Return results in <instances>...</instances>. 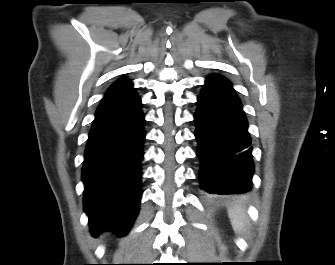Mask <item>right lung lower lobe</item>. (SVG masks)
Listing matches in <instances>:
<instances>
[{
    "label": "right lung lower lobe",
    "instance_id": "obj_1",
    "mask_svg": "<svg viewBox=\"0 0 335 265\" xmlns=\"http://www.w3.org/2000/svg\"><path fill=\"white\" fill-rule=\"evenodd\" d=\"M135 89L106 95L99 104L84 154V210L90 230L128 233L139 210L145 139Z\"/></svg>",
    "mask_w": 335,
    "mask_h": 265
}]
</instances>
